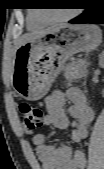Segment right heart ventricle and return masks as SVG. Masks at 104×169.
I'll return each instance as SVG.
<instances>
[{"instance_id":"e07e8e85","label":"right heart ventricle","mask_w":104,"mask_h":169,"mask_svg":"<svg viewBox=\"0 0 104 169\" xmlns=\"http://www.w3.org/2000/svg\"><path fill=\"white\" fill-rule=\"evenodd\" d=\"M45 26L43 22H41L37 16L31 12L27 16V27L31 31H37L42 29Z\"/></svg>"}]
</instances>
